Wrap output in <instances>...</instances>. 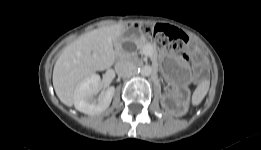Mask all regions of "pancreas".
Returning <instances> with one entry per match:
<instances>
[{
    "label": "pancreas",
    "mask_w": 261,
    "mask_h": 150,
    "mask_svg": "<svg viewBox=\"0 0 261 150\" xmlns=\"http://www.w3.org/2000/svg\"><path fill=\"white\" fill-rule=\"evenodd\" d=\"M138 49H139V52L141 54H143V49L146 45H149L151 47V52L149 53V56L151 58V60L153 61V63L156 62V56H155V51H156V47L154 44H152L151 42H149L146 38H140V39H137L135 41Z\"/></svg>",
    "instance_id": "1"
}]
</instances>
